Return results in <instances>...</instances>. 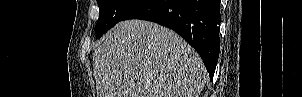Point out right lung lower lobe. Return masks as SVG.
Segmentation results:
<instances>
[{
  "label": "right lung lower lobe",
  "instance_id": "98d812e1",
  "mask_svg": "<svg viewBox=\"0 0 302 97\" xmlns=\"http://www.w3.org/2000/svg\"><path fill=\"white\" fill-rule=\"evenodd\" d=\"M143 19L168 27L200 54L212 80L220 50V0H141L122 20Z\"/></svg>",
  "mask_w": 302,
  "mask_h": 97
}]
</instances>
